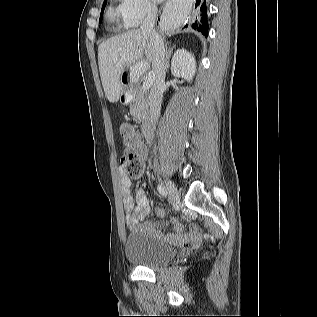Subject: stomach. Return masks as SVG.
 Returning a JSON list of instances; mask_svg holds the SVG:
<instances>
[{
  "label": "stomach",
  "mask_w": 317,
  "mask_h": 317,
  "mask_svg": "<svg viewBox=\"0 0 317 317\" xmlns=\"http://www.w3.org/2000/svg\"><path fill=\"white\" fill-rule=\"evenodd\" d=\"M143 59H134L132 66L129 67V70H124L120 72L119 77V88L121 94H132L131 87L136 86V83L140 82V77L136 74H146V67L143 66ZM122 102H126L124 96L121 97Z\"/></svg>",
  "instance_id": "obj_1"
}]
</instances>
